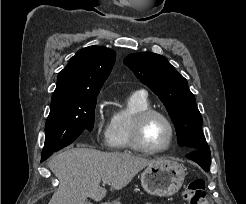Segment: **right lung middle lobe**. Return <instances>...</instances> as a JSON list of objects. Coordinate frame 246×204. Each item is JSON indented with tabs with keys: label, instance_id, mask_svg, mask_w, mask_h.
Masks as SVG:
<instances>
[{
	"label": "right lung middle lobe",
	"instance_id": "right-lung-middle-lobe-1",
	"mask_svg": "<svg viewBox=\"0 0 246 204\" xmlns=\"http://www.w3.org/2000/svg\"><path fill=\"white\" fill-rule=\"evenodd\" d=\"M96 100L97 94H94L51 102L42 157H49L69 145L84 129H93Z\"/></svg>",
	"mask_w": 246,
	"mask_h": 204
}]
</instances>
